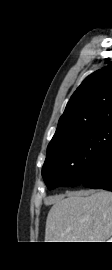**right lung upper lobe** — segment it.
<instances>
[{
  "label": "right lung upper lobe",
  "instance_id": "right-lung-upper-lobe-1",
  "mask_svg": "<svg viewBox=\"0 0 112 270\" xmlns=\"http://www.w3.org/2000/svg\"><path fill=\"white\" fill-rule=\"evenodd\" d=\"M109 122H112V62L89 75L71 96L48 148Z\"/></svg>",
  "mask_w": 112,
  "mask_h": 270
}]
</instances>
